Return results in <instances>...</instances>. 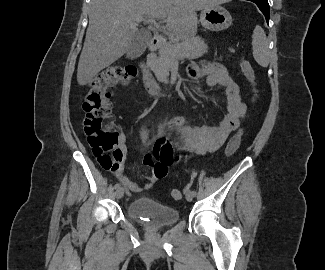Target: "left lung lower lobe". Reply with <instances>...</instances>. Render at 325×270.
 <instances>
[{"instance_id":"0a47b994","label":"left lung lower lobe","mask_w":325,"mask_h":270,"mask_svg":"<svg viewBox=\"0 0 325 270\" xmlns=\"http://www.w3.org/2000/svg\"><path fill=\"white\" fill-rule=\"evenodd\" d=\"M257 4L269 24L270 8L267 0H249Z\"/></svg>"}]
</instances>
